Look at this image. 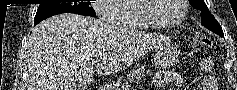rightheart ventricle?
Masks as SVG:
<instances>
[{
	"label": "right heart ventricle",
	"instance_id": "e07e8e85",
	"mask_svg": "<svg viewBox=\"0 0 237 90\" xmlns=\"http://www.w3.org/2000/svg\"><path fill=\"white\" fill-rule=\"evenodd\" d=\"M138 0H124L120 4H111V9L109 13H112L116 17L117 22L112 28H147L142 20L135 17V19H130V15H135L134 7L137 6Z\"/></svg>",
	"mask_w": 237,
	"mask_h": 90
}]
</instances>
